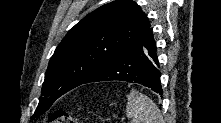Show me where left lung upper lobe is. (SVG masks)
Returning a JSON list of instances; mask_svg holds the SVG:
<instances>
[{"label": "left lung upper lobe", "mask_w": 221, "mask_h": 123, "mask_svg": "<svg viewBox=\"0 0 221 123\" xmlns=\"http://www.w3.org/2000/svg\"><path fill=\"white\" fill-rule=\"evenodd\" d=\"M149 27L148 18L132 0L113 1L83 18L55 49L32 118L136 43Z\"/></svg>", "instance_id": "obj_1"}]
</instances>
